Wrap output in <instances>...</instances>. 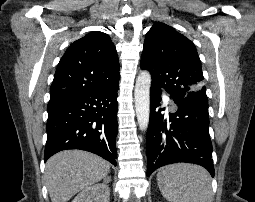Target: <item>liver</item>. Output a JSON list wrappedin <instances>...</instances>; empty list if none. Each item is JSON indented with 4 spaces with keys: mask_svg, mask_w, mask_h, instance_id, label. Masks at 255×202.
Here are the masks:
<instances>
[{
    "mask_svg": "<svg viewBox=\"0 0 255 202\" xmlns=\"http://www.w3.org/2000/svg\"><path fill=\"white\" fill-rule=\"evenodd\" d=\"M110 164L101 157L81 150H65L46 163L45 179L52 202H68L75 194L102 179Z\"/></svg>",
    "mask_w": 255,
    "mask_h": 202,
    "instance_id": "obj_1",
    "label": "liver"
}]
</instances>
